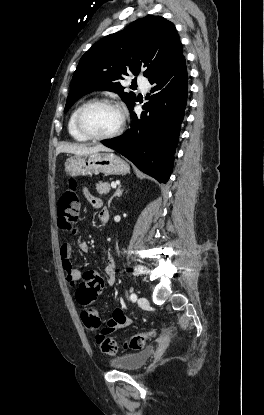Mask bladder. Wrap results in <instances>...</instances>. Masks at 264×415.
Here are the masks:
<instances>
[{
	"mask_svg": "<svg viewBox=\"0 0 264 415\" xmlns=\"http://www.w3.org/2000/svg\"><path fill=\"white\" fill-rule=\"evenodd\" d=\"M154 351L155 347L153 345L145 346L134 353H128L111 360L110 364L119 370L136 371L147 363Z\"/></svg>",
	"mask_w": 264,
	"mask_h": 415,
	"instance_id": "31cf9c89",
	"label": "bladder"
}]
</instances>
